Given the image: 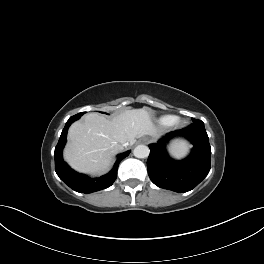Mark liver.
Instances as JSON below:
<instances>
[{
    "mask_svg": "<svg viewBox=\"0 0 264 264\" xmlns=\"http://www.w3.org/2000/svg\"><path fill=\"white\" fill-rule=\"evenodd\" d=\"M145 135L155 138L157 131L143 108L127 110L111 120L89 113L69 128L64 158L79 172L101 173L108 169L112 157L123 150V143L133 145Z\"/></svg>",
    "mask_w": 264,
    "mask_h": 264,
    "instance_id": "liver-1",
    "label": "liver"
}]
</instances>
